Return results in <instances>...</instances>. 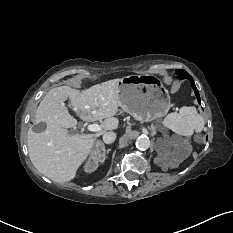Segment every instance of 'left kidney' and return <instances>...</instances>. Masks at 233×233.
<instances>
[{
  "label": "left kidney",
  "instance_id": "1",
  "mask_svg": "<svg viewBox=\"0 0 233 233\" xmlns=\"http://www.w3.org/2000/svg\"><path fill=\"white\" fill-rule=\"evenodd\" d=\"M167 144H168V147L166 148L165 156L170 158L171 160H175V157L172 155L171 148L173 145L174 149L176 150L179 148V144L174 143L172 140H167Z\"/></svg>",
  "mask_w": 233,
  "mask_h": 233
}]
</instances>
